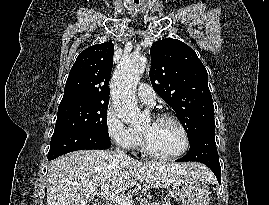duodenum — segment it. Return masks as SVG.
I'll list each match as a JSON object with an SVG mask.
<instances>
[{
	"label": "duodenum",
	"mask_w": 269,
	"mask_h": 205,
	"mask_svg": "<svg viewBox=\"0 0 269 205\" xmlns=\"http://www.w3.org/2000/svg\"><path fill=\"white\" fill-rule=\"evenodd\" d=\"M101 205H109L108 203H103V204H101Z\"/></svg>",
	"instance_id": "1"
}]
</instances>
